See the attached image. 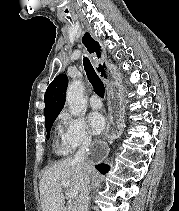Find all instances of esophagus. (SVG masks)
<instances>
[{
  "label": "esophagus",
  "instance_id": "34e87169",
  "mask_svg": "<svg viewBox=\"0 0 179 211\" xmlns=\"http://www.w3.org/2000/svg\"><path fill=\"white\" fill-rule=\"evenodd\" d=\"M83 44L87 47L91 56L94 57V61H98V67H96L97 75H100V79H104V82H113V79H118V74H111L110 70H107L106 52H102V45H97L90 34L86 33L82 39ZM110 69L114 68L113 64L109 65ZM118 82H113L112 86H108V94H110V101H108L109 108V128H107L106 137L109 140L105 141V144H93L90 147V151L86 154L87 163H100L101 159L106 156L107 145H111L114 138L117 137L116 133H122L124 130V121H127V116L122 109H125L124 99L121 98L120 91H126V86H120Z\"/></svg>",
  "mask_w": 179,
  "mask_h": 211
}]
</instances>
